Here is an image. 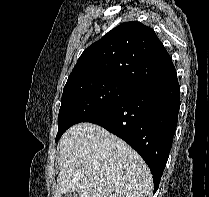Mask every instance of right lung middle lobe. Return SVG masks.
Segmentation results:
<instances>
[{"instance_id": "obj_1", "label": "right lung middle lobe", "mask_w": 209, "mask_h": 197, "mask_svg": "<svg viewBox=\"0 0 209 197\" xmlns=\"http://www.w3.org/2000/svg\"><path fill=\"white\" fill-rule=\"evenodd\" d=\"M136 88L116 80L81 81L63 90L55 141L72 125L84 122L96 113L130 95Z\"/></svg>"}]
</instances>
